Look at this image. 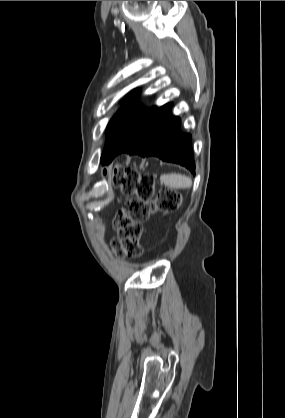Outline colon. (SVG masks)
Returning a JSON list of instances; mask_svg holds the SVG:
<instances>
[{
    "instance_id": "obj_1",
    "label": "colon",
    "mask_w": 285,
    "mask_h": 418,
    "mask_svg": "<svg viewBox=\"0 0 285 418\" xmlns=\"http://www.w3.org/2000/svg\"><path fill=\"white\" fill-rule=\"evenodd\" d=\"M128 168L115 169L112 177L129 198L114 220L117 235L111 240L110 250L118 256L139 258L143 249L140 239L145 222L154 212H174L181 195L170 188H163L155 195L153 177L131 173Z\"/></svg>"
}]
</instances>
